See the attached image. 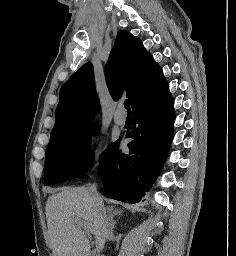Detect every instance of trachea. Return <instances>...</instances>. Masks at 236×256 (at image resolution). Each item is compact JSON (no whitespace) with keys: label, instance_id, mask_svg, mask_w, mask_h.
<instances>
[{"label":"trachea","instance_id":"1","mask_svg":"<svg viewBox=\"0 0 236 256\" xmlns=\"http://www.w3.org/2000/svg\"><path fill=\"white\" fill-rule=\"evenodd\" d=\"M124 107L126 108L128 113H131L129 100L124 101Z\"/></svg>","mask_w":236,"mask_h":256}]
</instances>
